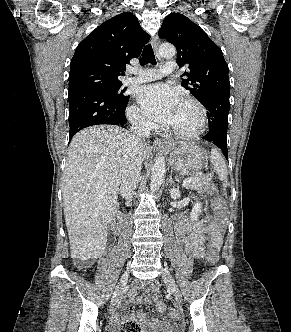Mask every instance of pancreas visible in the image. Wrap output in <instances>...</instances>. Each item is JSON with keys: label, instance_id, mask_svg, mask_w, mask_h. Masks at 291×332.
<instances>
[{"label": "pancreas", "instance_id": "obj_1", "mask_svg": "<svg viewBox=\"0 0 291 332\" xmlns=\"http://www.w3.org/2000/svg\"><path fill=\"white\" fill-rule=\"evenodd\" d=\"M211 178L208 176H196L192 178L190 184H188L187 189L202 191L204 186L209 184Z\"/></svg>", "mask_w": 291, "mask_h": 332}]
</instances>
